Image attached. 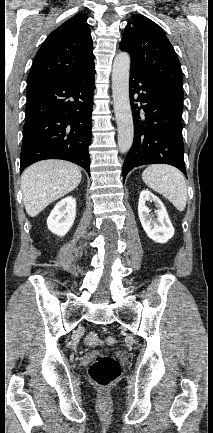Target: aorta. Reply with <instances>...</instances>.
Returning <instances> with one entry per match:
<instances>
[{"label": "aorta", "mask_w": 213, "mask_h": 433, "mask_svg": "<svg viewBox=\"0 0 213 433\" xmlns=\"http://www.w3.org/2000/svg\"><path fill=\"white\" fill-rule=\"evenodd\" d=\"M130 55H116L112 70V96L118 128V148L121 153L130 150L134 138L133 116L129 98Z\"/></svg>", "instance_id": "aorta-1"}]
</instances>
